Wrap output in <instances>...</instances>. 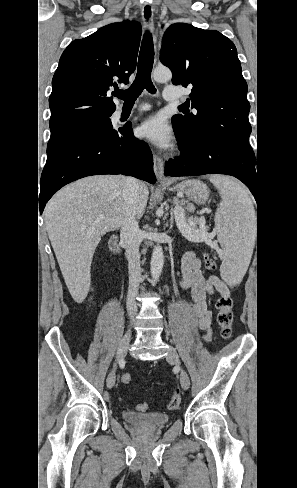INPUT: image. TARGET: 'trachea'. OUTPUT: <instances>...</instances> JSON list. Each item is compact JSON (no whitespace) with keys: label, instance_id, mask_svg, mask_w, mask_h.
Wrapping results in <instances>:
<instances>
[{"label":"trachea","instance_id":"trachea-1","mask_svg":"<svg viewBox=\"0 0 297 488\" xmlns=\"http://www.w3.org/2000/svg\"><path fill=\"white\" fill-rule=\"evenodd\" d=\"M154 62V45L153 39L149 32L143 36L139 59L137 75L132 85L127 90H120L116 93L119 99L124 100V104H134L136 99L142 93L144 88L151 94L156 93V89L151 81V71Z\"/></svg>","mask_w":297,"mask_h":488}]
</instances>
